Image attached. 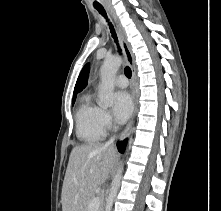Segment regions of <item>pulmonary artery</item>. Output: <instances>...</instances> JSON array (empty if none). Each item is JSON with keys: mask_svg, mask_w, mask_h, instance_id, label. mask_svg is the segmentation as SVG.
<instances>
[{"mask_svg": "<svg viewBox=\"0 0 221 211\" xmlns=\"http://www.w3.org/2000/svg\"><path fill=\"white\" fill-rule=\"evenodd\" d=\"M115 85L120 88H125L128 85V80L124 75H119L115 79Z\"/></svg>", "mask_w": 221, "mask_h": 211, "instance_id": "e3ab8cb5", "label": "pulmonary artery"}]
</instances>
